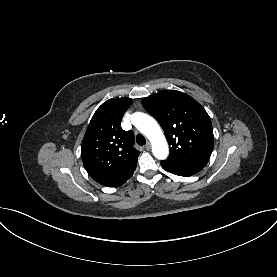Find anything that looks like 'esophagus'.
Here are the masks:
<instances>
[{
  "instance_id": "esophagus-1",
  "label": "esophagus",
  "mask_w": 277,
  "mask_h": 277,
  "mask_svg": "<svg viewBox=\"0 0 277 277\" xmlns=\"http://www.w3.org/2000/svg\"><path fill=\"white\" fill-rule=\"evenodd\" d=\"M145 149H146V150H150V149H151V144H150V142H148V143L145 145Z\"/></svg>"
}]
</instances>
